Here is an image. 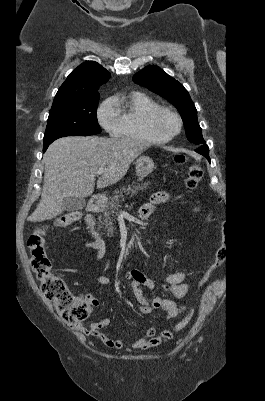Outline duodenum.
Returning a JSON list of instances; mask_svg holds the SVG:
<instances>
[{
    "mask_svg": "<svg viewBox=\"0 0 265 401\" xmlns=\"http://www.w3.org/2000/svg\"><path fill=\"white\" fill-rule=\"evenodd\" d=\"M103 207V201L98 196H93L87 205V215L85 216V223L88 231L95 240L101 239V235L97 229L95 214L98 213Z\"/></svg>",
    "mask_w": 265,
    "mask_h": 401,
    "instance_id": "duodenum-1",
    "label": "duodenum"
}]
</instances>
